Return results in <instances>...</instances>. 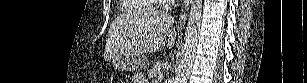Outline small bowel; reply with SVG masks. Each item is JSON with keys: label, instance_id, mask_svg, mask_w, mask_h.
Returning a JSON list of instances; mask_svg holds the SVG:
<instances>
[{"label": "small bowel", "instance_id": "small-bowel-1", "mask_svg": "<svg viewBox=\"0 0 307 83\" xmlns=\"http://www.w3.org/2000/svg\"><path fill=\"white\" fill-rule=\"evenodd\" d=\"M135 83H143L141 80H136Z\"/></svg>", "mask_w": 307, "mask_h": 83}]
</instances>
